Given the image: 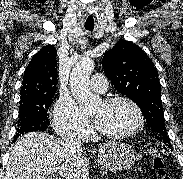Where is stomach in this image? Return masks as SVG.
<instances>
[{
    "instance_id": "obj_1",
    "label": "stomach",
    "mask_w": 183,
    "mask_h": 179,
    "mask_svg": "<svg viewBox=\"0 0 183 179\" xmlns=\"http://www.w3.org/2000/svg\"><path fill=\"white\" fill-rule=\"evenodd\" d=\"M98 158L104 169L123 171L130 169L141 158V154L132 145L109 142L99 147Z\"/></svg>"
}]
</instances>
